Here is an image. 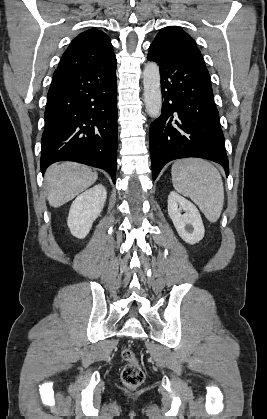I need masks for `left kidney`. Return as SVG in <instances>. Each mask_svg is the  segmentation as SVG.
I'll use <instances>...</instances> for the list:
<instances>
[{"label": "left kidney", "mask_w": 267, "mask_h": 419, "mask_svg": "<svg viewBox=\"0 0 267 419\" xmlns=\"http://www.w3.org/2000/svg\"><path fill=\"white\" fill-rule=\"evenodd\" d=\"M168 214L179 236L186 243L195 244L203 239L205 230L198 209L174 191L168 196Z\"/></svg>", "instance_id": "1"}]
</instances>
